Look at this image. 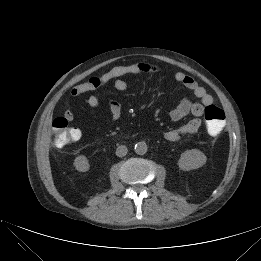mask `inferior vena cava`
Returning <instances> with one entry per match:
<instances>
[{"mask_svg": "<svg viewBox=\"0 0 261 261\" xmlns=\"http://www.w3.org/2000/svg\"><path fill=\"white\" fill-rule=\"evenodd\" d=\"M127 152H128V149H127V147L125 145H120L116 149V155L118 157L126 156Z\"/></svg>", "mask_w": 261, "mask_h": 261, "instance_id": "1", "label": "inferior vena cava"}]
</instances>
